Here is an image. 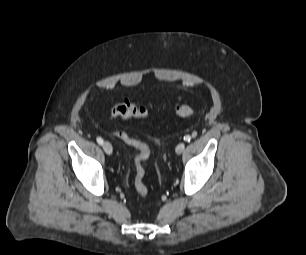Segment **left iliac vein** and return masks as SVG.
Returning a JSON list of instances; mask_svg holds the SVG:
<instances>
[{
    "label": "left iliac vein",
    "mask_w": 306,
    "mask_h": 255,
    "mask_svg": "<svg viewBox=\"0 0 306 255\" xmlns=\"http://www.w3.org/2000/svg\"><path fill=\"white\" fill-rule=\"evenodd\" d=\"M185 149V143H179L175 149L176 154L180 155Z\"/></svg>",
    "instance_id": "1"
}]
</instances>
